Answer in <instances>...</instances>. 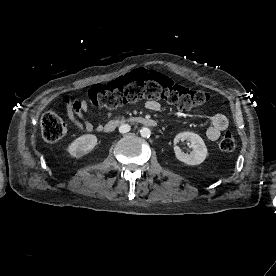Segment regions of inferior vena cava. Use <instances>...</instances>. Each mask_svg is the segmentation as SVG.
Instances as JSON below:
<instances>
[{"label":"inferior vena cava","instance_id":"inferior-vena-cava-1","mask_svg":"<svg viewBox=\"0 0 276 276\" xmlns=\"http://www.w3.org/2000/svg\"><path fill=\"white\" fill-rule=\"evenodd\" d=\"M130 129H131V127H130V125H128V124H122L120 127H119V132L120 133H127V132H129L130 131Z\"/></svg>","mask_w":276,"mask_h":276}]
</instances>
